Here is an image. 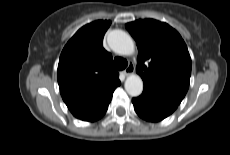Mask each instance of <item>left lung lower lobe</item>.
<instances>
[{"mask_svg": "<svg viewBox=\"0 0 230 155\" xmlns=\"http://www.w3.org/2000/svg\"><path fill=\"white\" fill-rule=\"evenodd\" d=\"M136 113L144 120L158 122L172 114L178 103L167 99L161 94L144 88L143 93L132 99Z\"/></svg>", "mask_w": 230, "mask_h": 155, "instance_id": "obj_1", "label": "left lung lower lobe"}]
</instances>
